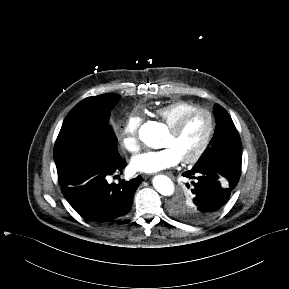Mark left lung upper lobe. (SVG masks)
I'll return each instance as SVG.
<instances>
[{"label": "left lung upper lobe", "mask_w": 289, "mask_h": 289, "mask_svg": "<svg viewBox=\"0 0 289 289\" xmlns=\"http://www.w3.org/2000/svg\"><path fill=\"white\" fill-rule=\"evenodd\" d=\"M214 113L216 118L214 136L193 169L228 164L241 165L242 163L241 141L231 117L219 104L214 105ZM171 212L186 222L204 221L196 216L195 208L190 201V194L188 198L177 197L171 205Z\"/></svg>", "instance_id": "1"}]
</instances>
